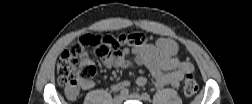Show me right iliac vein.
Segmentation results:
<instances>
[{
	"label": "right iliac vein",
	"mask_w": 252,
	"mask_h": 104,
	"mask_svg": "<svg viewBox=\"0 0 252 104\" xmlns=\"http://www.w3.org/2000/svg\"><path fill=\"white\" fill-rule=\"evenodd\" d=\"M123 99H124V97H122L121 95H117L114 97L113 101L115 104H121L123 102Z\"/></svg>",
	"instance_id": "right-iliac-vein-1"
}]
</instances>
